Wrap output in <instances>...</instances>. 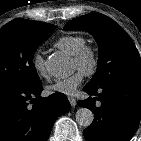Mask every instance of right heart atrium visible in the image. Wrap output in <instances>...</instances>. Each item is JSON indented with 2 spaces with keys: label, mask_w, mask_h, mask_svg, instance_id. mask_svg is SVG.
I'll list each match as a JSON object with an SVG mask.
<instances>
[{
  "label": "right heart atrium",
  "mask_w": 141,
  "mask_h": 141,
  "mask_svg": "<svg viewBox=\"0 0 141 141\" xmlns=\"http://www.w3.org/2000/svg\"><path fill=\"white\" fill-rule=\"evenodd\" d=\"M33 67L34 70L41 76H45L46 75V67H45V62H44V58L40 53H36L33 56Z\"/></svg>",
  "instance_id": "right-heart-atrium-1"
}]
</instances>
